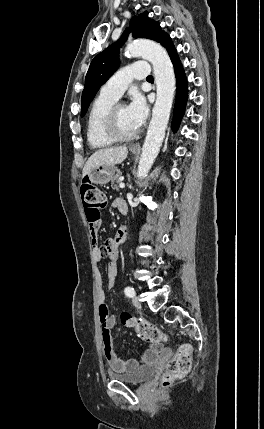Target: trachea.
<instances>
[{
    "label": "trachea",
    "instance_id": "3493384b",
    "mask_svg": "<svg viewBox=\"0 0 264 429\" xmlns=\"http://www.w3.org/2000/svg\"><path fill=\"white\" fill-rule=\"evenodd\" d=\"M153 79V76L152 75H149L148 77H147V80H152Z\"/></svg>",
    "mask_w": 264,
    "mask_h": 429
}]
</instances>
